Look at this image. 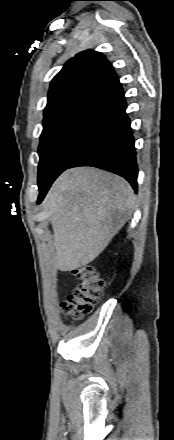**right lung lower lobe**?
Masks as SVG:
<instances>
[{
    "label": "right lung lower lobe",
    "mask_w": 174,
    "mask_h": 440,
    "mask_svg": "<svg viewBox=\"0 0 174 440\" xmlns=\"http://www.w3.org/2000/svg\"><path fill=\"white\" fill-rule=\"evenodd\" d=\"M126 100L118 82L98 96V106L86 140L67 168L92 166L124 177L137 191V160ZM51 184L39 186L38 203Z\"/></svg>",
    "instance_id": "right-lung-lower-lobe-1"
}]
</instances>
